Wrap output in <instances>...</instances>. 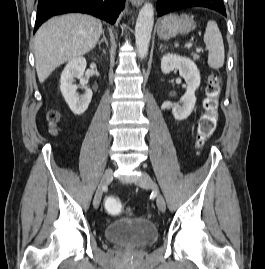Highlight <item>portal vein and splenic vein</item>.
<instances>
[{"instance_id":"18ae733b","label":"portal vein and splenic vein","mask_w":265,"mask_h":269,"mask_svg":"<svg viewBox=\"0 0 265 269\" xmlns=\"http://www.w3.org/2000/svg\"><path fill=\"white\" fill-rule=\"evenodd\" d=\"M185 47L186 48H188V49H190L191 47H192V43H187V44H185ZM196 51L197 52H201V51H203L201 48H196Z\"/></svg>"}]
</instances>
